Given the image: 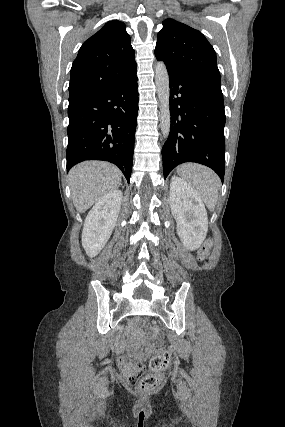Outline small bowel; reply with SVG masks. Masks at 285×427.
I'll return each mask as SVG.
<instances>
[{
	"mask_svg": "<svg viewBox=\"0 0 285 427\" xmlns=\"http://www.w3.org/2000/svg\"><path fill=\"white\" fill-rule=\"evenodd\" d=\"M121 342L120 348H124L125 340L123 339ZM119 362L125 368L127 374L133 373L132 362L127 357H121Z\"/></svg>",
	"mask_w": 285,
	"mask_h": 427,
	"instance_id": "obj_1",
	"label": "small bowel"
}]
</instances>
